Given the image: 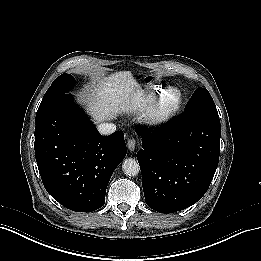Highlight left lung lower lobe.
Returning <instances> with one entry per match:
<instances>
[{
	"label": "left lung lower lobe",
	"mask_w": 261,
	"mask_h": 261,
	"mask_svg": "<svg viewBox=\"0 0 261 261\" xmlns=\"http://www.w3.org/2000/svg\"><path fill=\"white\" fill-rule=\"evenodd\" d=\"M220 128L218 114L202 111L184 113L160 132L135 128L142 138L137 159L150 208L173 213L202 198L218 165Z\"/></svg>",
	"instance_id": "1"
}]
</instances>
